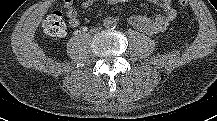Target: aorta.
I'll list each match as a JSON object with an SVG mask.
<instances>
[{"mask_svg":"<svg viewBox=\"0 0 217 121\" xmlns=\"http://www.w3.org/2000/svg\"><path fill=\"white\" fill-rule=\"evenodd\" d=\"M103 25H104V27L107 28V29H113V28L116 27L117 21H116V19L113 18V17H107V18H105Z\"/></svg>","mask_w":217,"mask_h":121,"instance_id":"obj_1","label":"aorta"}]
</instances>
